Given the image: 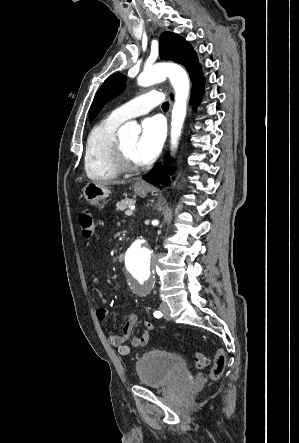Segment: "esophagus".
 Here are the masks:
<instances>
[{
    "label": "esophagus",
    "instance_id": "1",
    "mask_svg": "<svg viewBox=\"0 0 299 443\" xmlns=\"http://www.w3.org/2000/svg\"><path fill=\"white\" fill-rule=\"evenodd\" d=\"M138 183H139L140 185H144V183H143V182H141V181H139Z\"/></svg>",
    "mask_w": 299,
    "mask_h": 443
}]
</instances>
